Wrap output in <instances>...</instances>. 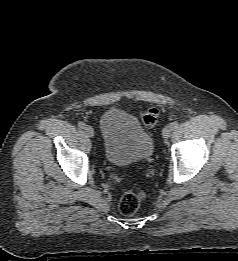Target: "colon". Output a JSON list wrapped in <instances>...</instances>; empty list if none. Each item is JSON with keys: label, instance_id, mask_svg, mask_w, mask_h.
<instances>
[{"label": "colon", "instance_id": "obj_1", "mask_svg": "<svg viewBox=\"0 0 238 261\" xmlns=\"http://www.w3.org/2000/svg\"><path fill=\"white\" fill-rule=\"evenodd\" d=\"M159 112L156 108H148L142 115L143 124L148 127H154L158 121ZM146 199V193L140 188H133L127 191L121 198L119 210L123 215L131 216L136 213Z\"/></svg>", "mask_w": 238, "mask_h": 261}]
</instances>
